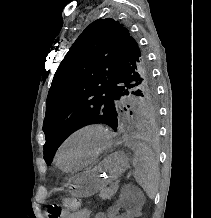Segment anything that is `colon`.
Instances as JSON below:
<instances>
[{
  "label": "colon",
  "instance_id": "1",
  "mask_svg": "<svg viewBox=\"0 0 211 218\" xmlns=\"http://www.w3.org/2000/svg\"><path fill=\"white\" fill-rule=\"evenodd\" d=\"M63 205L67 210L73 211L79 208V201L74 197H65Z\"/></svg>",
  "mask_w": 211,
  "mask_h": 218
}]
</instances>
